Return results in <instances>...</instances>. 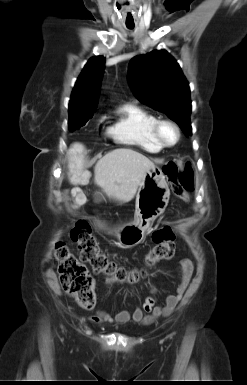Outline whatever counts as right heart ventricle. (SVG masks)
Wrapping results in <instances>:
<instances>
[{"instance_id": "obj_1", "label": "right heart ventricle", "mask_w": 247, "mask_h": 385, "mask_svg": "<svg viewBox=\"0 0 247 385\" xmlns=\"http://www.w3.org/2000/svg\"><path fill=\"white\" fill-rule=\"evenodd\" d=\"M157 119L153 113L138 105L124 104L118 108L108 134L120 143L138 147L148 153H158L162 147L152 136V126Z\"/></svg>"}]
</instances>
